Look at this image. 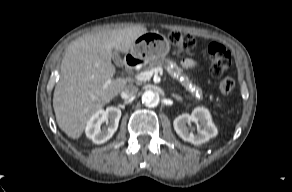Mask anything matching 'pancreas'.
I'll return each mask as SVG.
<instances>
[{"label": "pancreas", "mask_w": 292, "mask_h": 192, "mask_svg": "<svg viewBox=\"0 0 292 192\" xmlns=\"http://www.w3.org/2000/svg\"><path fill=\"white\" fill-rule=\"evenodd\" d=\"M157 67H163L164 69H166L173 79L178 80L179 83L190 92L192 97L201 96L202 94L201 89L196 85H192L190 79L187 77L185 73H183V70L180 67H178V65L175 62L169 59L162 58L159 60L152 61L148 66L147 70H152Z\"/></svg>", "instance_id": "1"}]
</instances>
